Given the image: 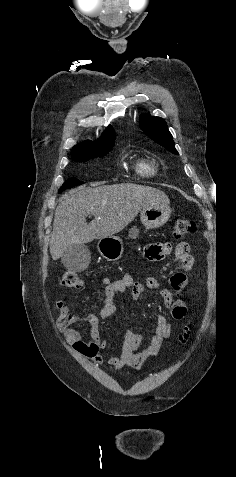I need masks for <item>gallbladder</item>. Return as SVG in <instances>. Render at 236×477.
<instances>
[{"label":"gallbladder","mask_w":236,"mask_h":477,"mask_svg":"<svg viewBox=\"0 0 236 477\" xmlns=\"http://www.w3.org/2000/svg\"><path fill=\"white\" fill-rule=\"evenodd\" d=\"M91 259V254L85 244H72L61 256L63 265L70 271L81 272L85 270Z\"/></svg>","instance_id":"gallbladder-1"}]
</instances>
